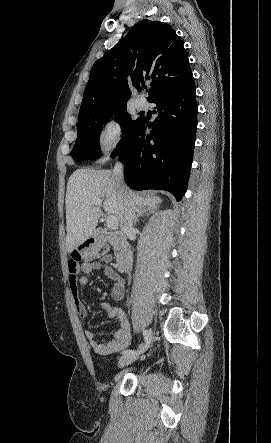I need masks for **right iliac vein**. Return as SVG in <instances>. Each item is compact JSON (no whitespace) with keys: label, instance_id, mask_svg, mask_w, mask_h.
<instances>
[{"label":"right iliac vein","instance_id":"63e3f726","mask_svg":"<svg viewBox=\"0 0 271 443\" xmlns=\"http://www.w3.org/2000/svg\"><path fill=\"white\" fill-rule=\"evenodd\" d=\"M139 357V354H125L122 357H120L119 361H118V367L119 368H123L131 363H133L134 361H136Z\"/></svg>","mask_w":271,"mask_h":443}]
</instances>
